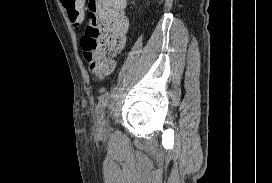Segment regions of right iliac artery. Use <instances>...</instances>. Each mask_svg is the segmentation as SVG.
I'll list each match as a JSON object with an SVG mask.
<instances>
[{"label": "right iliac artery", "mask_w": 272, "mask_h": 183, "mask_svg": "<svg viewBox=\"0 0 272 183\" xmlns=\"http://www.w3.org/2000/svg\"><path fill=\"white\" fill-rule=\"evenodd\" d=\"M107 103H108V93H105L99 97V102L96 108L97 117H101V119L104 117V112H105Z\"/></svg>", "instance_id": "right-iliac-artery-1"}]
</instances>
